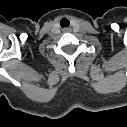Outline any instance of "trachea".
<instances>
[{"instance_id": "3493384b", "label": "trachea", "mask_w": 127, "mask_h": 127, "mask_svg": "<svg viewBox=\"0 0 127 127\" xmlns=\"http://www.w3.org/2000/svg\"><path fill=\"white\" fill-rule=\"evenodd\" d=\"M60 25L61 27H69L70 25V21L67 18H62L60 21Z\"/></svg>"}]
</instances>
